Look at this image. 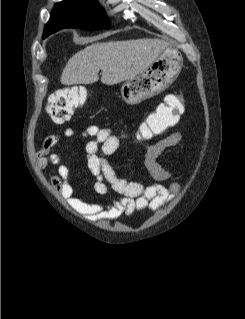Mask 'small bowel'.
<instances>
[{"instance_id": "1", "label": "small bowel", "mask_w": 245, "mask_h": 319, "mask_svg": "<svg viewBox=\"0 0 245 319\" xmlns=\"http://www.w3.org/2000/svg\"><path fill=\"white\" fill-rule=\"evenodd\" d=\"M177 94H181V92L178 91ZM169 96L166 97L165 102ZM74 135L75 131L72 128H66L63 131L64 137L70 138ZM81 137L90 138L85 146L83 156L94 177V191L99 195H112L113 198L109 202H86L81 198L74 197L70 169L63 162L62 156L55 151V146L60 142L61 135L52 134L46 137L42 148L37 152V162L41 169L56 168V173L51 176L52 185L73 209L87 218L114 220L122 214L130 215L135 211H156L169 203L179 192L178 183H173L169 187L161 184L146 186L138 181L123 179L116 174L107 157L117 151L120 142L126 139V134L116 136L109 128L91 125L81 133ZM181 141L182 135L173 132L161 137L153 144L145 145L144 164L156 180L164 181L172 176L170 170L159 163L158 158L166 149L179 145Z\"/></svg>"}]
</instances>
